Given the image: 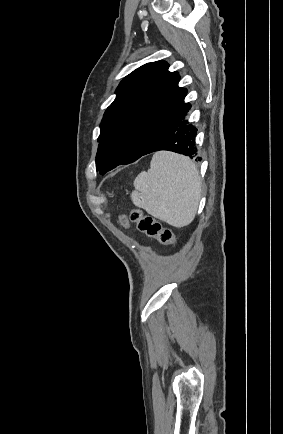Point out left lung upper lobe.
Here are the masks:
<instances>
[{
    "label": "left lung upper lobe",
    "mask_w": 283,
    "mask_h": 434,
    "mask_svg": "<svg viewBox=\"0 0 283 434\" xmlns=\"http://www.w3.org/2000/svg\"><path fill=\"white\" fill-rule=\"evenodd\" d=\"M168 63H147L127 75L100 124L96 170L100 174L140 158L159 129L184 103L180 75Z\"/></svg>",
    "instance_id": "left-lung-upper-lobe-1"
}]
</instances>
